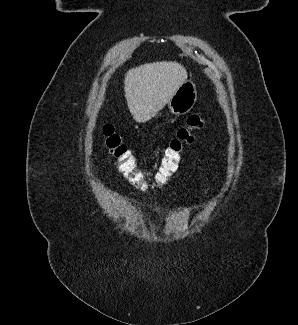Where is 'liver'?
Wrapping results in <instances>:
<instances>
[{"mask_svg":"<svg viewBox=\"0 0 298 325\" xmlns=\"http://www.w3.org/2000/svg\"><path fill=\"white\" fill-rule=\"evenodd\" d=\"M187 78L186 66L177 60H157L129 68L124 76V92L134 120L147 122L153 118Z\"/></svg>","mask_w":298,"mask_h":325,"instance_id":"6515ba94","label":"liver"}]
</instances>
